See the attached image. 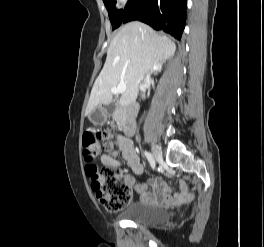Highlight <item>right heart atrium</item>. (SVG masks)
<instances>
[{"label":"right heart atrium","instance_id":"1","mask_svg":"<svg viewBox=\"0 0 264 247\" xmlns=\"http://www.w3.org/2000/svg\"><path fill=\"white\" fill-rule=\"evenodd\" d=\"M122 3H126L128 0H119Z\"/></svg>","mask_w":264,"mask_h":247}]
</instances>
